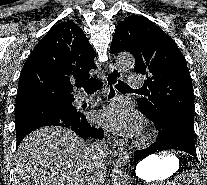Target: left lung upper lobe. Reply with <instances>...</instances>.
I'll return each instance as SVG.
<instances>
[{
  "label": "left lung upper lobe",
  "instance_id": "left-lung-upper-lobe-1",
  "mask_svg": "<svg viewBox=\"0 0 207 185\" xmlns=\"http://www.w3.org/2000/svg\"><path fill=\"white\" fill-rule=\"evenodd\" d=\"M111 50L132 53L134 71L146 75L142 88L147 97L137 99V103L155 127L175 123L194 136L191 76L172 38L146 17L130 15L117 25Z\"/></svg>",
  "mask_w": 207,
  "mask_h": 185
}]
</instances>
